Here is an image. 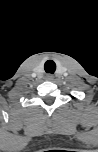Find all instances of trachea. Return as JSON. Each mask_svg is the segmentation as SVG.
<instances>
[{"instance_id": "1", "label": "trachea", "mask_w": 98, "mask_h": 152, "mask_svg": "<svg viewBox=\"0 0 98 152\" xmlns=\"http://www.w3.org/2000/svg\"><path fill=\"white\" fill-rule=\"evenodd\" d=\"M44 69L46 73L53 74L56 70V64L53 60H48L44 64Z\"/></svg>"}]
</instances>
